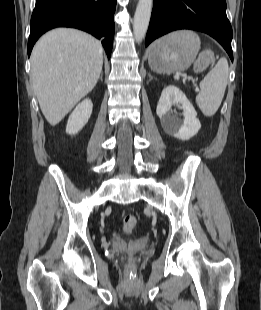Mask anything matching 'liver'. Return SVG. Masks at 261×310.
<instances>
[{
    "mask_svg": "<svg viewBox=\"0 0 261 310\" xmlns=\"http://www.w3.org/2000/svg\"><path fill=\"white\" fill-rule=\"evenodd\" d=\"M103 65L100 41L80 30L47 32L31 54V79L41 111L57 125L95 87Z\"/></svg>",
    "mask_w": 261,
    "mask_h": 310,
    "instance_id": "6515ba94",
    "label": "liver"
}]
</instances>
